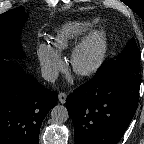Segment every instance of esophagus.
I'll use <instances>...</instances> for the list:
<instances>
[{"instance_id":"esophagus-1","label":"esophagus","mask_w":144,"mask_h":144,"mask_svg":"<svg viewBox=\"0 0 144 144\" xmlns=\"http://www.w3.org/2000/svg\"><path fill=\"white\" fill-rule=\"evenodd\" d=\"M67 95L64 92L59 93L58 99L60 103L64 104L66 102Z\"/></svg>"}]
</instances>
